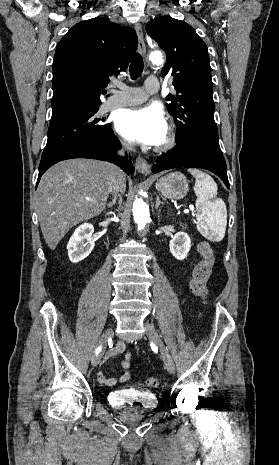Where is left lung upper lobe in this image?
I'll return each mask as SVG.
<instances>
[{"instance_id": "5c2ea615", "label": "left lung upper lobe", "mask_w": 279, "mask_h": 465, "mask_svg": "<svg viewBox=\"0 0 279 465\" xmlns=\"http://www.w3.org/2000/svg\"><path fill=\"white\" fill-rule=\"evenodd\" d=\"M148 34L166 52L162 75L173 76L177 94L167 109L177 124L176 143L196 142L222 153L214 121L211 67L207 46L186 22L170 16L146 25Z\"/></svg>"}]
</instances>
